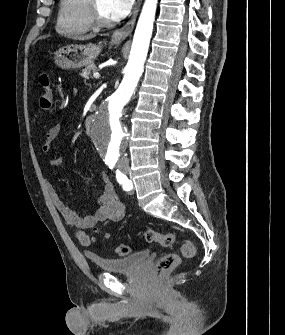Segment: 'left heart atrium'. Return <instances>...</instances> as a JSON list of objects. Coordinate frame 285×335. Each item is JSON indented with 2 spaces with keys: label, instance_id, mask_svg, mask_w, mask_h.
Segmentation results:
<instances>
[{
  "label": "left heart atrium",
  "instance_id": "39dd6f15",
  "mask_svg": "<svg viewBox=\"0 0 285 335\" xmlns=\"http://www.w3.org/2000/svg\"><path fill=\"white\" fill-rule=\"evenodd\" d=\"M134 1H105L112 22L122 19L132 7Z\"/></svg>",
  "mask_w": 285,
  "mask_h": 335
}]
</instances>
